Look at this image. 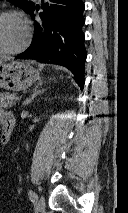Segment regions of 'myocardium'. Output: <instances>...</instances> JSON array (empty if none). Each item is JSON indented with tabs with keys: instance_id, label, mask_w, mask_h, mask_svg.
<instances>
[{
	"instance_id": "obj_1",
	"label": "myocardium",
	"mask_w": 128,
	"mask_h": 213,
	"mask_svg": "<svg viewBox=\"0 0 128 213\" xmlns=\"http://www.w3.org/2000/svg\"><path fill=\"white\" fill-rule=\"evenodd\" d=\"M15 17L17 19H19L22 24L24 25V29H25V38L23 40V42L21 43L20 46H18L17 48L14 49H0V55H16L19 54L21 52H23L24 50L27 49V47L30 44L31 41V28L29 25V22L27 21V19L24 17V15L17 11V10H13V9H4L0 11V18L2 17Z\"/></svg>"
}]
</instances>
